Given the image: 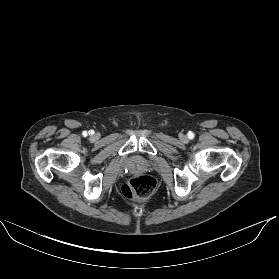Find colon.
<instances>
[{
    "label": "colon",
    "mask_w": 279,
    "mask_h": 279,
    "mask_svg": "<svg viewBox=\"0 0 279 279\" xmlns=\"http://www.w3.org/2000/svg\"><path fill=\"white\" fill-rule=\"evenodd\" d=\"M156 181L149 175H138L129 179L123 185L121 191L127 199L142 202L146 200L155 190Z\"/></svg>",
    "instance_id": "colon-1"
}]
</instances>
